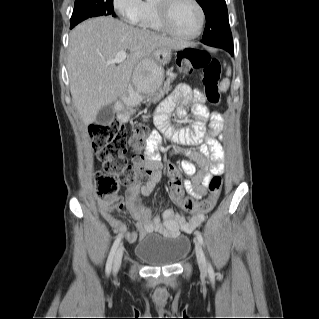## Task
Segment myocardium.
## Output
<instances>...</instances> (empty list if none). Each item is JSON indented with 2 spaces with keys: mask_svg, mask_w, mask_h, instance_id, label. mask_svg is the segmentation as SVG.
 I'll list each match as a JSON object with an SVG mask.
<instances>
[{
  "mask_svg": "<svg viewBox=\"0 0 319 319\" xmlns=\"http://www.w3.org/2000/svg\"><path fill=\"white\" fill-rule=\"evenodd\" d=\"M155 1H156V9H157L160 23H161L163 29L167 33H169L173 37H175L177 39H181V40H193L200 35V33L203 29V26H204V22H205V13H204L203 7L200 5L198 0H189L191 3L194 4V6L196 7L198 14H199L198 27H197L195 33H193L191 35H181L178 32H176L173 29V27L171 26L170 13H171L173 5L176 3L177 0H155Z\"/></svg>",
  "mask_w": 319,
  "mask_h": 319,
  "instance_id": "1",
  "label": "myocardium"
}]
</instances>
